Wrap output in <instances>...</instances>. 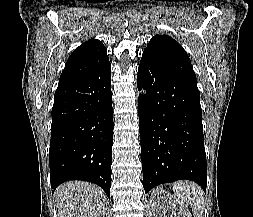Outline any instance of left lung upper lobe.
<instances>
[{
    "instance_id": "left-lung-upper-lobe-1",
    "label": "left lung upper lobe",
    "mask_w": 253,
    "mask_h": 217,
    "mask_svg": "<svg viewBox=\"0 0 253 217\" xmlns=\"http://www.w3.org/2000/svg\"><path fill=\"white\" fill-rule=\"evenodd\" d=\"M142 56H146L172 74L196 84V75L188 54L172 37L155 35Z\"/></svg>"
}]
</instances>
